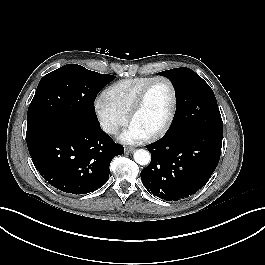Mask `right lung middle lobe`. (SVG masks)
<instances>
[{
	"mask_svg": "<svg viewBox=\"0 0 265 265\" xmlns=\"http://www.w3.org/2000/svg\"><path fill=\"white\" fill-rule=\"evenodd\" d=\"M115 76L67 64L45 75L28 108L27 135L66 120L98 122L94 100Z\"/></svg>",
	"mask_w": 265,
	"mask_h": 265,
	"instance_id": "1",
	"label": "right lung middle lobe"
}]
</instances>
